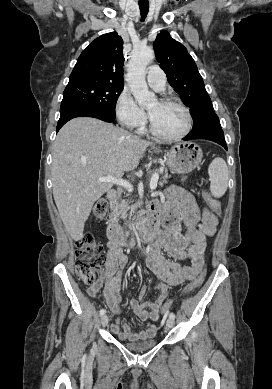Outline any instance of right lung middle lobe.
Wrapping results in <instances>:
<instances>
[{"label":"right lung middle lobe","instance_id":"1","mask_svg":"<svg viewBox=\"0 0 272 389\" xmlns=\"http://www.w3.org/2000/svg\"><path fill=\"white\" fill-rule=\"evenodd\" d=\"M124 85L108 82L81 81L69 83L63 93L61 105L84 104L116 116L115 105Z\"/></svg>","mask_w":272,"mask_h":389}]
</instances>
